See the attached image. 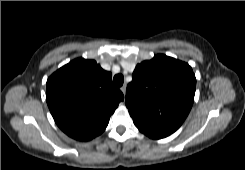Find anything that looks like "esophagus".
<instances>
[{
	"mask_svg": "<svg viewBox=\"0 0 245 170\" xmlns=\"http://www.w3.org/2000/svg\"><path fill=\"white\" fill-rule=\"evenodd\" d=\"M120 89H121L123 95H125V93H126V85H123Z\"/></svg>",
	"mask_w": 245,
	"mask_h": 170,
	"instance_id": "esophagus-1",
	"label": "esophagus"
}]
</instances>
